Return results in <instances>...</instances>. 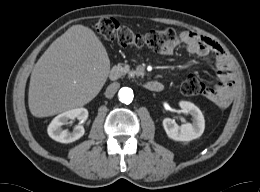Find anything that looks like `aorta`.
Instances as JSON below:
<instances>
[{
	"instance_id": "aorta-1",
	"label": "aorta",
	"mask_w": 260,
	"mask_h": 192,
	"mask_svg": "<svg viewBox=\"0 0 260 192\" xmlns=\"http://www.w3.org/2000/svg\"><path fill=\"white\" fill-rule=\"evenodd\" d=\"M133 90L128 87H123L119 90L118 98L122 103L130 104L133 101Z\"/></svg>"
}]
</instances>
